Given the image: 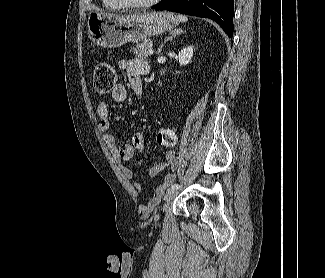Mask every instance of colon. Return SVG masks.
Listing matches in <instances>:
<instances>
[{
	"label": "colon",
	"instance_id": "5ec220e1",
	"mask_svg": "<svg viewBox=\"0 0 325 278\" xmlns=\"http://www.w3.org/2000/svg\"><path fill=\"white\" fill-rule=\"evenodd\" d=\"M116 83V75L113 66L107 62H99L94 68L93 88L98 95L104 96L111 92ZM157 141L165 147H173L176 139L174 131L170 128H160L156 135ZM148 207L143 209L146 214Z\"/></svg>",
	"mask_w": 325,
	"mask_h": 278
}]
</instances>
